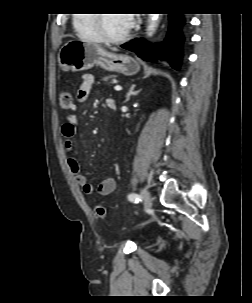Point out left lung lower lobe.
Listing matches in <instances>:
<instances>
[{"label":"left lung lower lobe","mask_w":252,"mask_h":303,"mask_svg":"<svg viewBox=\"0 0 252 303\" xmlns=\"http://www.w3.org/2000/svg\"><path fill=\"white\" fill-rule=\"evenodd\" d=\"M170 28L168 34L161 45H150L143 39H134L129 43L121 45L122 48L135 52L140 58L145 61H156L157 59L164 60L169 58L171 66L179 70L182 43L184 37L180 31L184 19L176 14H169Z\"/></svg>","instance_id":"obj_1"}]
</instances>
